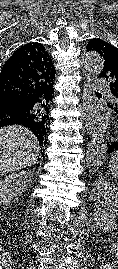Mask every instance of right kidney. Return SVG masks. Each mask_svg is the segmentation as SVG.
<instances>
[{"instance_id":"obj_1","label":"right kidney","mask_w":118,"mask_h":269,"mask_svg":"<svg viewBox=\"0 0 118 269\" xmlns=\"http://www.w3.org/2000/svg\"><path fill=\"white\" fill-rule=\"evenodd\" d=\"M32 172L21 171L16 174L6 176L0 181V203L8 205L10 201L21 195L32 179Z\"/></svg>"}]
</instances>
